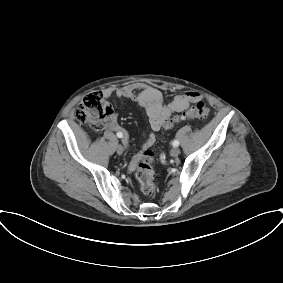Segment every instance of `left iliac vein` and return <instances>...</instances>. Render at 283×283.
Masks as SVG:
<instances>
[{
    "label": "left iliac vein",
    "mask_w": 283,
    "mask_h": 283,
    "mask_svg": "<svg viewBox=\"0 0 283 283\" xmlns=\"http://www.w3.org/2000/svg\"><path fill=\"white\" fill-rule=\"evenodd\" d=\"M179 154H180V149L178 147H174L170 151L171 157H177Z\"/></svg>",
    "instance_id": "4c4485c4"
}]
</instances>
